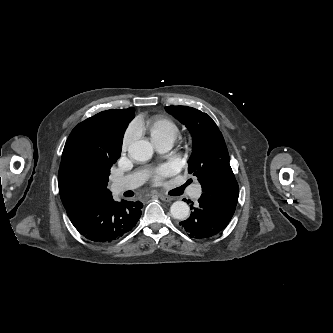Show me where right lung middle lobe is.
<instances>
[{"label": "right lung middle lobe", "instance_id": "right-lung-middle-lobe-1", "mask_svg": "<svg viewBox=\"0 0 333 333\" xmlns=\"http://www.w3.org/2000/svg\"><path fill=\"white\" fill-rule=\"evenodd\" d=\"M135 110H106L83 121L82 135L71 143L70 167L79 175L108 183L110 169L121 155L125 130Z\"/></svg>", "mask_w": 333, "mask_h": 333}]
</instances>
